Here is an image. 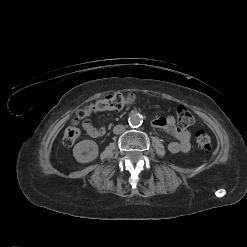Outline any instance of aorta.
Masks as SVG:
<instances>
[{"label":"aorta","mask_w":247,"mask_h":247,"mask_svg":"<svg viewBox=\"0 0 247 247\" xmlns=\"http://www.w3.org/2000/svg\"><path fill=\"white\" fill-rule=\"evenodd\" d=\"M128 123L131 127L139 126L142 123V118L138 113H131L128 118Z\"/></svg>","instance_id":"obj_1"}]
</instances>
